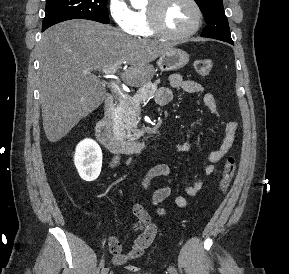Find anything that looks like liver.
Returning <instances> with one entry per match:
<instances>
[{"label": "liver", "instance_id": "liver-1", "mask_svg": "<svg viewBox=\"0 0 289 274\" xmlns=\"http://www.w3.org/2000/svg\"><path fill=\"white\" fill-rule=\"evenodd\" d=\"M172 49L169 44L136 39L117 29L89 20H69L47 29L38 46L40 102L43 128L54 143L105 99L106 90L94 74L123 63L121 73L130 86H142L154 73L150 64Z\"/></svg>", "mask_w": 289, "mask_h": 274}]
</instances>
